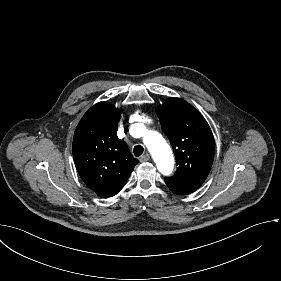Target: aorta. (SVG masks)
<instances>
[{
  "label": "aorta",
  "instance_id": "1",
  "mask_svg": "<svg viewBox=\"0 0 281 281\" xmlns=\"http://www.w3.org/2000/svg\"><path fill=\"white\" fill-rule=\"evenodd\" d=\"M144 144L148 148L157 169L164 175H169L174 167V158L166 140L156 131H149L144 136Z\"/></svg>",
  "mask_w": 281,
  "mask_h": 281
}]
</instances>
